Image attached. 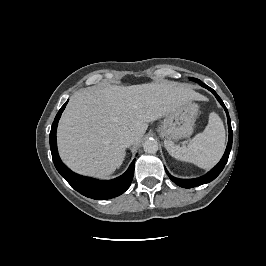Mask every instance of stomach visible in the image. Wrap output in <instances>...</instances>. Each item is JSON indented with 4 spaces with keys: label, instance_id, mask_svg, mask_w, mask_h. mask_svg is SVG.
<instances>
[{
    "label": "stomach",
    "instance_id": "1",
    "mask_svg": "<svg viewBox=\"0 0 266 266\" xmlns=\"http://www.w3.org/2000/svg\"><path fill=\"white\" fill-rule=\"evenodd\" d=\"M198 109L196 103L188 101L165 116L157 128L159 135L165 139V144L174 143L193 133Z\"/></svg>",
    "mask_w": 266,
    "mask_h": 266
}]
</instances>
